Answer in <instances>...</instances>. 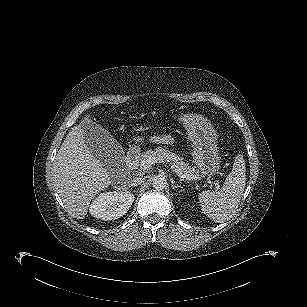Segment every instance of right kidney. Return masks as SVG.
Returning <instances> with one entry per match:
<instances>
[{"instance_id":"ca27d5eb","label":"right kidney","mask_w":307,"mask_h":307,"mask_svg":"<svg viewBox=\"0 0 307 307\" xmlns=\"http://www.w3.org/2000/svg\"><path fill=\"white\" fill-rule=\"evenodd\" d=\"M133 202L134 195L130 192H104L95 198L89 212L104 221L115 220L126 214Z\"/></svg>"}]
</instances>
